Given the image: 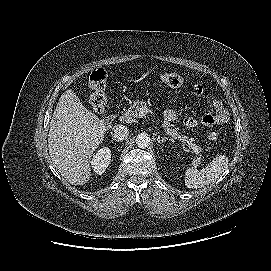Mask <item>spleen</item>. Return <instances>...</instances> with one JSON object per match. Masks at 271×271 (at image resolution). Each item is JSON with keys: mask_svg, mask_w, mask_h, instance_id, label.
<instances>
[{"mask_svg": "<svg viewBox=\"0 0 271 271\" xmlns=\"http://www.w3.org/2000/svg\"><path fill=\"white\" fill-rule=\"evenodd\" d=\"M229 158L226 155H218L205 168L198 170L194 167L185 172V186L187 188H202L212 183L228 167Z\"/></svg>", "mask_w": 271, "mask_h": 271, "instance_id": "obj_1", "label": "spleen"}]
</instances>
